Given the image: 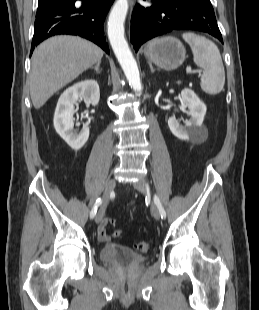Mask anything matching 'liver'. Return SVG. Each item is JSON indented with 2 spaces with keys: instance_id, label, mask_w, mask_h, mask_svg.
Masks as SVG:
<instances>
[{
  "instance_id": "1",
  "label": "liver",
  "mask_w": 259,
  "mask_h": 310,
  "mask_svg": "<svg viewBox=\"0 0 259 310\" xmlns=\"http://www.w3.org/2000/svg\"><path fill=\"white\" fill-rule=\"evenodd\" d=\"M103 53L94 43L70 35L41 43L33 53L29 78L34 108H41L55 92L101 62Z\"/></svg>"
}]
</instances>
